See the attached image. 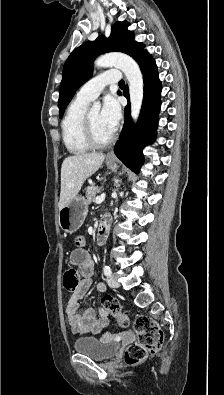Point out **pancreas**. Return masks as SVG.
I'll return each mask as SVG.
<instances>
[{"label": "pancreas", "instance_id": "cf45deb5", "mask_svg": "<svg viewBox=\"0 0 224 395\" xmlns=\"http://www.w3.org/2000/svg\"><path fill=\"white\" fill-rule=\"evenodd\" d=\"M99 188L96 187H89L86 190V198H87V203L90 204L95 201V198L97 194L99 193Z\"/></svg>", "mask_w": 224, "mask_h": 395}]
</instances>
